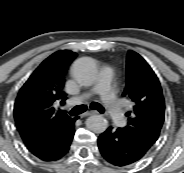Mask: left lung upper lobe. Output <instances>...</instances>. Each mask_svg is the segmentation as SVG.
Listing matches in <instances>:
<instances>
[{"label": "left lung upper lobe", "mask_w": 184, "mask_h": 173, "mask_svg": "<svg viewBox=\"0 0 184 173\" xmlns=\"http://www.w3.org/2000/svg\"><path fill=\"white\" fill-rule=\"evenodd\" d=\"M123 96L133 102L123 129L149 149L158 139L165 117V103L158 78L136 52L128 51Z\"/></svg>", "instance_id": "obj_1"}]
</instances>
